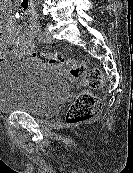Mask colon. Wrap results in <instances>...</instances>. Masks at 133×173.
<instances>
[{
  "instance_id": "5ec220e1",
  "label": "colon",
  "mask_w": 133,
  "mask_h": 173,
  "mask_svg": "<svg viewBox=\"0 0 133 173\" xmlns=\"http://www.w3.org/2000/svg\"><path fill=\"white\" fill-rule=\"evenodd\" d=\"M33 59L50 66H66L69 75L76 80L82 88L81 93L69 108L66 120L69 124H77L91 119L101 107L100 99L94 91L100 89L104 84V76L99 69L90 68L85 61L67 59L63 54L33 52ZM4 56L0 53V61Z\"/></svg>"
}]
</instances>
